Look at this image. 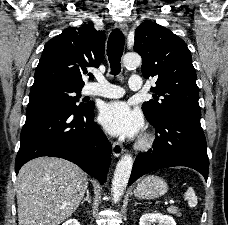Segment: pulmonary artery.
Returning <instances> with one entry per match:
<instances>
[{"instance_id": "obj_1", "label": "pulmonary artery", "mask_w": 228, "mask_h": 225, "mask_svg": "<svg viewBox=\"0 0 228 225\" xmlns=\"http://www.w3.org/2000/svg\"><path fill=\"white\" fill-rule=\"evenodd\" d=\"M97 82H89L84 87V93L91 96H100L104 98H120L124 95L121 87L109 83L103 78H98ZM131 80H142V75H131ZM144 81H131L128 90H141Z\"/></svg>"}]
</instances>
